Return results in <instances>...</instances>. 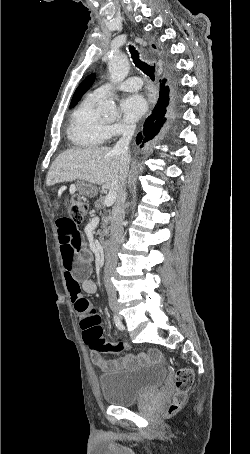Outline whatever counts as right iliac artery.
I'll list each match as a JSON object with an SVG mask.
<instances>
[{"instance_id":"82829eb1","label":"right iliac artery","mask_w":250,"mask_h":454,"mask_svg":"<svg viewBox=\"0 0 250 454\" xmlns=\"http://www.w3.org/2000/svg\"><path fill=\"white\" fill-rule=\"evenodd\" d=\"M114 323L118 329H120V330L124 329V326H123L121 320L116 315H114Z\"/></svg>"}]
</instances>
